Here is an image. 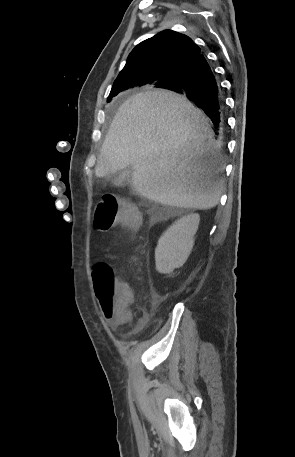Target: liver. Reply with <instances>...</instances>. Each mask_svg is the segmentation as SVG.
<instances>
[{
    "instance_id": "1",
    "label": "liver",
    "mask_w": 295,
    "mask_h": 457,
    "mask_svg": "<svg viewBox=\"0 0 295 457\" xmlns=\"http://www.w3.org/2000/svg\"><path fill=\"white\" fill-rule=\"evenodd\" d=\"M212 137L209 119L185 97L141 92L114 116L95 174L103 178L132 166L137 194L171 207L211 209L222 188Z\"/></svg>"
}]
</instances>
